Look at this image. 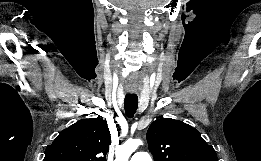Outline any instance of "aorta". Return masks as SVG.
Here are the masks:
<instances>
[{"mask_svg": "<svg viewBox=\"0 0 261 161\" xmlns=\"http://www.w3.org/2000/svg\"><path fill=\"white\" fill-rule=\"evenodd\" d=\"M142 144L140 139H131L126 141L123 145L116 147L115 161H128L131 154L135 152L139 145Z\"/></svg>", "mask_w": 261, "mask_h": 161, "instance_id": "aorta-1", "label": "aorta"}]
</instances>
